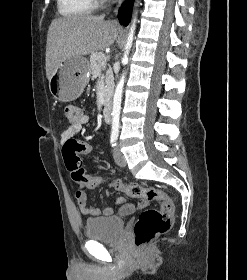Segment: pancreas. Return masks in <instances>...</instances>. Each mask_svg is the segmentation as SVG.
<instances>
[{
    "label": "pancreas",
    "mask_w": 247,
    "mask_h": 280,
    "mask_svg": "<svg viewBox=\"0 0 247 280\" xmlns=\"http://www.w3.org/2000/svg\"><path fill=\"white\" fill-rule=\"evenodd\" d=\"M102 63L106 64V56L102 52H95L90 55V69L92 71L93 77L102 76V71L105 67L102 66ZM105 80V99L109 97V86L112 81L111 71H107L106 76H102Z\"/></svg>",
    "instance_id": "obj_1"
}]
</instances>
